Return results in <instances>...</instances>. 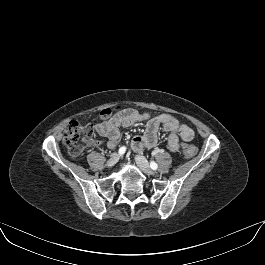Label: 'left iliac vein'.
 I'll list each match as a JSON object with an SVG mask.
<instances>
[{
    "label": "left iliac vein",
    "mask_w": 265,
    "mask_h": 265,
    "mask_svg": "<svg viewBox=\"0 0 265 265\" xmlns=\"http://www.w3.org/2000/svg\"><path fill=\"white\" fill-rule=\"evenodd\" d=\"M135 161L139 168L147 175H154L155 172L150 168L147 159L142 155H137Z\"/></svg>",
    "instance_id": "4c4485c4"
}]
</instances>
